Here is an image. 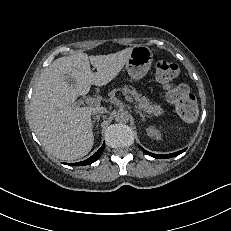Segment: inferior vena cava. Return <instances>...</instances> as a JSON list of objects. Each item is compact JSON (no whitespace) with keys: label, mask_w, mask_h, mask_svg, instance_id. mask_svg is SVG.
Instances as JSON below:
<instances>
[{"label":"inferior vena cava","mask_w":231,"mask_h":231,"mask_svg":"<svg viewBox=\"0 0 231 231\" xmlns=\"http://www.w3.org/2000/svg\"><path fill=\"white\" fill-rule=\"evenodd\" d=\"M106 112V109L104 107H99L97 109H94L92 114H102V113H105Z\"/></svg>","instance_id":"obj_1"}]
</instances>
